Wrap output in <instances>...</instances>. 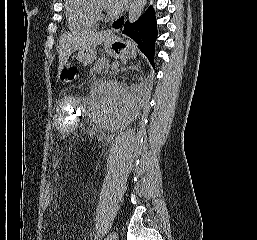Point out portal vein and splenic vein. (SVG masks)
Returning a JSON list of instances; mask_svg holds the SVG:
<instances>
[{
	"label": "portal vein and splenic vein",
	"mask_w": 257,
	"mask_h": 240,
	"mask_svg": "<svg viewBox=\"0 0 257 240\" xmlns=\"http://www.w3.org/2000/svg\"><path fill=\"white\" fill-rule=\"evenodd\" d=\"M118 67H119V63L118 62L112 63V69H117Z\"/></svg>",
	"instance_id": "obj_1"
}]
</instances>
